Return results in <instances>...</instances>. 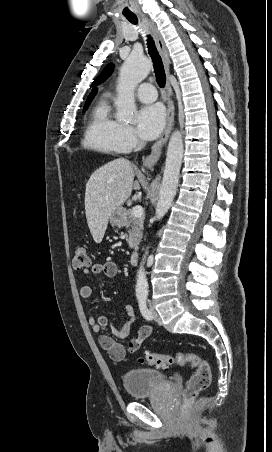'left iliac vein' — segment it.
<instances>
[{
    "instance_id": "left-iliac-vein-1",
    "label": "left iliac vein",
    "mask_w": 272,
    "mask_h": 452,
    "mask_svg": "<svg viewBox=\"0 0 272 452\" xmlns=\"http://www.w3.org/2000/svg\"><path fill=\"white\" fill-rule=\"evenodd\" d=\"M150 312H151V317H152L156 322H160L159 314L157 313V311L155 310V308H154L153 306H150Z\"/></svg>"
}]
</instances>
